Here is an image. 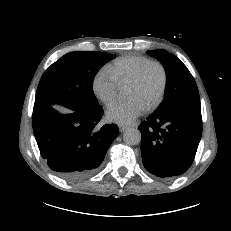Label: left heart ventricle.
Here are the masks:
<instances>
[{"mask_svg": "<svg viewBox=\"0 0 231 231\" xmlns=\"http://www.w3.org/2000/svg\"><path fill=\"white\" fill-rule=\"evenodd\" d=\"M162 84V73L158 66H150L137 86L127 88V98H136L146 107L157 97Z\"/></svg>", "mask_w": 231, "mask_h": 231, "instance_id": "left-heart-ventricle-1", "label": "left heart ventricle"}]
</instances>
